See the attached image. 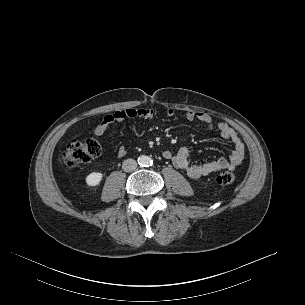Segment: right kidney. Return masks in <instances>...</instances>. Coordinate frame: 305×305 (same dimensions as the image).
<instances>
[{"label": "right kidney", "mask_w": 305, "mask_h": 305, "mask_svg": "<svg viewBox=\"0 0 305 305\" xmlns=\"http://www.w3.org/2000/svg\"><path fill=\"white\" fill-rule=\"evenodd\" d=\"M102 177V173L92 172L86 177V184L90 187H95L100 184Z\"/></svg>", "instance_id": "obj_1"}]
</instances>
